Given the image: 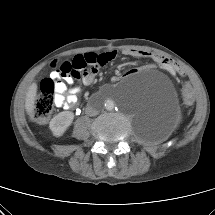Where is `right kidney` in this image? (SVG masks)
Listing matches in <instances>:
<instances>
[{"label": "right kidney", "mask_w": 215, "mask_h": 215, "mask_svg": "<svg viewBox=\"0 0 215 215\" xmlns=\"http://www.w3.org/2000/svg\"><path fill=\"white\" fill-rule=\"evenodd\" d=\"M74 119V114L70 111H63L54 116L49 124V128L56 137L64 134L67 128L71 125Z\"/></svg>", "instance_id": "ca27d5eb"}]
</instances>
